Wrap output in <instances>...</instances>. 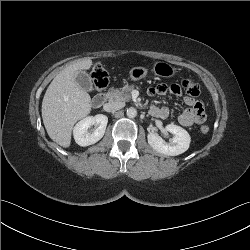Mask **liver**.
Returning <instances> with one entry per match:
<instances>
[{
  "label": "liver",
  "mask_w": 250,
  "mask_h": 250,
  "mask_svg": "<svg viewBox=\"0 0 250 250\" xmlns=\"http://www.w3.org/2000/svg\"><path fill=\"white\" fill-rule=\"evenodd\" d=\"M91 59L70 64L52 80L42 101V119L49 137L60 146L71 144L74 124L91 111L90 95L77 85L79 71L88 70Z\"/></svg>",
  "instance_id": "liver-1"
}]
</instances>
